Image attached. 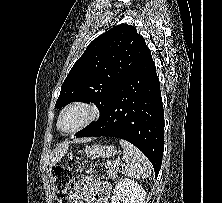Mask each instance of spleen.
I'll return each instance as SVG.
<instances>
[{
  "label": "spleen",
  "mask_w": 222,
  "mask_h": 203,
  "mask_svg": "<svg viewBox=\"0 0 222 203\" xmlns=\"http://www.w3.org/2000/svg\"><path fill=\"white\" fill-rule=\"evenodd\" d=\"M123 148L122 159L126 165L122 169L125 176L132 178H148L151 175V163L147 157L133 144L125 141H119Z\"/></svg>",
  "instance_id": "spleen-1"
}]
</instances>
